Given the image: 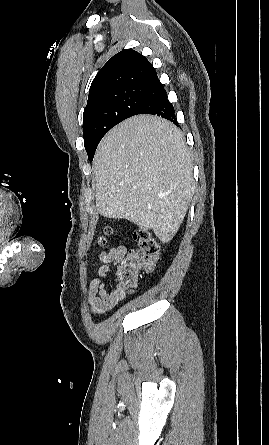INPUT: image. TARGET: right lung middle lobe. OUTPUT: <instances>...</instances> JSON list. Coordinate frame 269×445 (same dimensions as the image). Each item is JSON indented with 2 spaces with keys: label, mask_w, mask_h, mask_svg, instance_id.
I'll list each match as a JSON object with an SVG mask.
<instances>
[{
  "label": "right lung middle lobe",
  "mask_w": 269,
  "mask_h": 445,
  "mask_svg": "<svg viewBox=\"0 0 269 445\" xmlns=\"http://www.w3.org/2000/svg\"><path fill=\"white\" fill-rule=\"evenodd\" d=\"M157 96L156 87H128L112 90L87 103L83 114V136L88 159L93 160L100 140L112 127L136 115Z\"/></svg>",
  "instance_id": "dd1d6c3e"
}]
</instances>
